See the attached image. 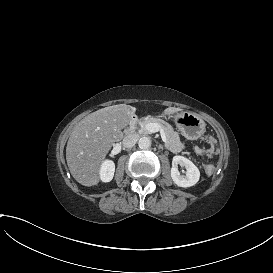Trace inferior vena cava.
Returning a JSON list of instances; mask_svg holds the SVG:
<instances>
[{
	"mask_svg": "<svg viewBox=\"0 0 273 273\" xmlns=\"http://www.w3.org/2000/svg\"><path fill=\"white\" fill-rule=\"evenodd\" d=\"M138 140L139 136L137 134H130L123 139L122 144L126 148H132Z\"/></svg>",
	"mask_w": 273,
	"mask_h": 273,
	"instance_id": "602c4592",
	"label": "inferior vena cava"
}]
</instances>
